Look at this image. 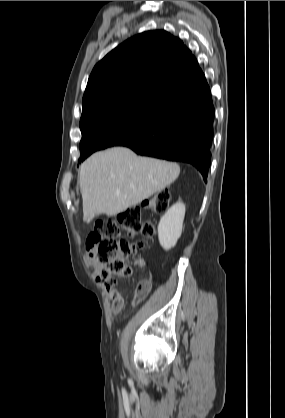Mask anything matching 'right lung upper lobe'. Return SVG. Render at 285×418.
<instances>
[{"label": "right lung upper lobe", "instance_id": "obj_1", "mask_svg": "<svg viewBox=\"0 0 285 418\" xmlns=\"http://www.w3.org/2000/svg\"><path fill=\"white\" fill-rule=\"evenodd\" d=\"M205 83L196 58L179 38L164 30L143 32L95 65L81 118L108 105L136 100L169 106Z\"/></svg>", "mask_w": 285, "mask_h": 418}]
</instances>
